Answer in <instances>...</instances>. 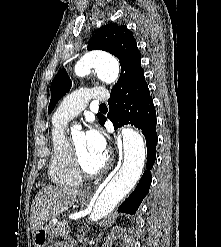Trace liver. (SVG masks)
<instances>
[{
    "instance_id": "1",
    "label": "liver",
    "mask_w": 221,
    "mask_h": 247,
    "mask_svg": "<svg viewBox=\"0 0 221 247\" xmlns=\"http://www.w3.org/2000/svg\"><path fill=\"white\" fill-rule=\"evenodd\" d=\"M79 190L69 187H43L31 207L30 225L32 231L47 223L51 218L67 211L76 201Z\"/></svg>"
}]
</instances>
